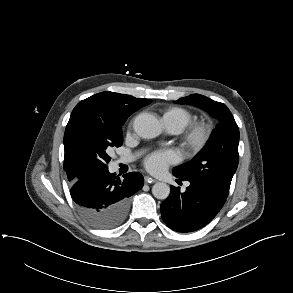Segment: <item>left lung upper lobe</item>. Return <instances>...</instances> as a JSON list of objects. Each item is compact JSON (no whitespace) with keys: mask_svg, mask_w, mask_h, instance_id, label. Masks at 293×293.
Here are the masks:
<instances>
[{"mask_svg":"<svg viewBox=\"0 0 293 293\" xmlns=\"http://www.w3.org/2000/svg\"><path fill=\"white\" fill-rule=\"evenodd\" d=\"M194 105L218 120L204 148L189 162L173 169V174L212 183L229 191L237 169L239 130L227 106L200 94H192L175 101Z\"/></svg>","mask_w":293,"mask_h":293,"instance_id":"left-lung-upper-lobe-1","label":"left lung upper lobe"}]
</instances>
